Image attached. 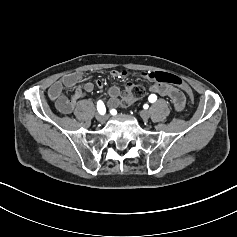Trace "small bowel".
I'll return each instance as SVG.
<instances>
[{
	"mask_svg": "<svg viewBox=\"0 0 237 237\" xmlns=\"http://www.w3.org/2000/svg\"><path fill=\"white\" fill-rule=\"evenodd\" d=\"M150 72H143L141 75L147 79ZM111 76L114 78H125L127 72L114 70L111 72ZM83 79V73L80 71L69 73L64 75L60 80L54 82L48 89V96L51 101L54 102L57 110L62 114L78 113L79 116H83L84 110H89L91 104L88 101L82 100L83 91L92 92L96 87L103 88L104 82L101 79L95 81H87L81 83ZM153 80V79H151ZM67 88H74L71 95H65L64 90ZM150 91L162 96L170 98L176 111H182L185 106V97L175 87L169 84H163L155 82L151 85ZM109 108H116L120 104V89L116 86H112L108 90Z\"/></svg>",
	"mask_w": 237,
	"mask_h": 237,
	"instance_id": "obj_1",
	"label": "small bowel"
}]
</instances>
